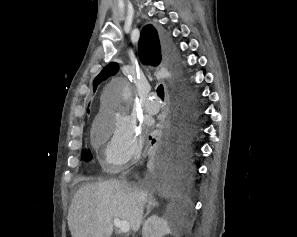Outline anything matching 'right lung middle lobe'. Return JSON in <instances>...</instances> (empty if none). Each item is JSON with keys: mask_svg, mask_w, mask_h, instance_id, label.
Returning a JSON list of instances; mask_svg holds the SVG:
<instances>
[{"mask_svg": "<svg viewBox=\"0 0 297 237\" xmlns=\"http://www.w3.org/2000/svg\"><path fill=\"white\" fill-rule=\"evenodd\" d=\"M83 158H84L85 160H89V159H90V157H89V155L87 154V151H86V150L84 151Z\"/></svg>", "mask_w": 297, "mask_h": 237, "instance_id": "obj_1", "label": "right lung middle lobe"}]
</instances>
